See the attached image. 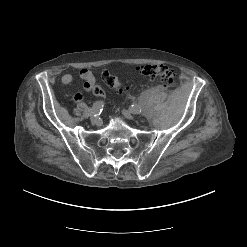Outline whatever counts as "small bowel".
I'll use <instances>...</instances> for the list:
<instances>
[{
  "label": "small bowel",
  "instance_id": "1",
  "mask_svg": "<svg viewBox=\"0 0 247 247\" xmlns=\"http://www.w3.org/2000/svg\"><path fill=\"white\" fill-rule=\"evenodd\" d=\"M79 77L84 82V89L86 92H93L96 87V79L94 74L88 69H82L79 72ZM61 82L65 86H69L73 82V76L71 74H65L61 78ZM74 100L80 102L83 100V95L81 93H76L74 95Z\"/></svg>",
  "mask_w": 247,
  "mask_h": 247
}]
</instances>
